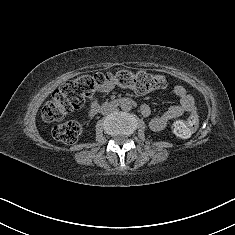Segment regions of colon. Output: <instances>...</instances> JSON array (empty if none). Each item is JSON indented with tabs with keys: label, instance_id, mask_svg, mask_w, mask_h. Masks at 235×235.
Instances as JSON below:
<instances>
[{
	"label": "colon",
	"instance_id": "5ec220e1",
	"mask_svg": "<svg viewBox=\"0 0 235 235\" xmlns=\"http://www.w3.org/2000/svg\"><path fill=\"white\" fill-rule=\"evenodd\" d=\"M167 83L165 76L144 71L132 73L127 70H120L81 75L64 83L53 92L42 109V116L46 121L61 120L66 114L82 107L85 101L96 92L104 90L109 85L129 88L136 93L146 94L153 90L165 88ZM196 123L197 115L195 111H192L187 123L178 122L175 124V133L181 137H187L195 128ZM79 133L80 127L75 122L70 121L59 124L53 129L55 138L67 144L74 143Z\"/></svg>",
	"mask_w": 235,
	"mask_h": 235
}]
</instances>
